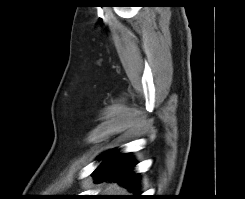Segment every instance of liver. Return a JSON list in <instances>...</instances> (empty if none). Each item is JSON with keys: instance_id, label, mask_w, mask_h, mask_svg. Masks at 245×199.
<instances>
[{"instance_id": "6515ba94", "label": "liver", "mask_w": 245, "mask_h": 199, "mask_svg": "<svg viewBox=\"0 0 245 199\" xmlns=\"http://www.w3.org/2000/svg\"><path fill=\"white\" fill-rule=\"evenodd\" d=\"M104 191L106 193H121L123 189L116 183H109L104 186Z\"/></svg>"}]
</instances>
